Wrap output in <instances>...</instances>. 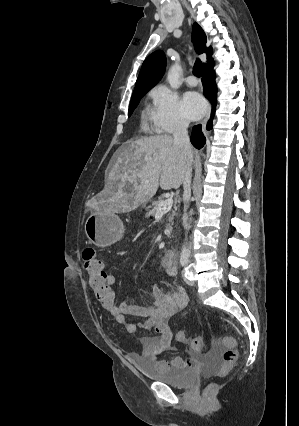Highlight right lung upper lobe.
<instances>
[{"label":"right lung upper lobe","mask_w":299,"mask_h":426,"mask_svg":"<svg viewBox=\"0 0 299 426\" xmlns=\"http://www.w3.org/2000/svg\"><path fill=\"white\" fill-rule=\"evenodd\" d=\"M192 40L199 54L207 53L209 64L204 65V69L213 65L212 48L206 47V35L202 28L193 24ZM166 67V57L163 51L157 50L150 54L142 64L138 79L135 84L134 92L148 91L154 87L162 78Z\"/></svg>","instance_id":"obj_1"}]
</instances>
